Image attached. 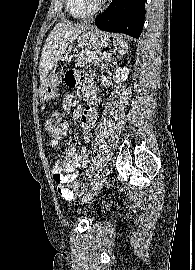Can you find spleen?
Returning a JSON list of instances; mask_svg holds the SVG:
<instances>
[{
    "label": "spleen",
    "instance_id": "1",
    "mask_svg": "<svg viewBox=\"0 0 195 270\" xmlns=\"http://www.w3.org/2000/svg\"><path fill=\"white\" fill-rule=\"evenodd\" d=\"M113 44L115 49L120 53V54H125L128 49V45L125 41L121 39L119 36H114L113 38Z\"/></svg>",
    "mask_w": 195,
    "mask_h": 270
}]
</instances>
